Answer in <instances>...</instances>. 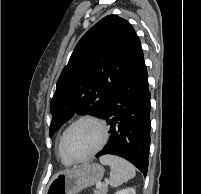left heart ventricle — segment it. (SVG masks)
Returning <instances> with one entry per match:
<instances>
[{
  "instance_id": "b2bd125f",
  "label": "left heart ventricle",
  "mask_w": 201,
  "mask_h": 194,
  "mask_svg": "<svg viewBox=\"0 0 201 194\" xmlns=\"http://www.w3.org/2000/svg\"><path fill=\"white\" fill-rule=\"evenodd\" d=\"M101 132L91 122H81L70 129L64 141L65 153L73 158L83 157L93 151L99 144Z\"/></svg>"
}]
</instances>
